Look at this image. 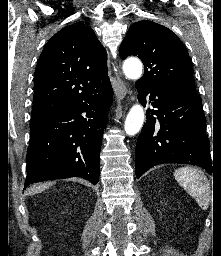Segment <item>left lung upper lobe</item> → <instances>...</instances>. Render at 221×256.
<instances>
[{
    "label": "left lung upper lobe",
    "instance_id": "5c2ea615",
    "mask_svg": "<svg viewBox=\"0 0 221 256\" xmlns=\"http://www.w3.org/2000/svg\"><path fill=\"white\" fill-rule=\"evenodd\" d=\"M119 54L122 59L138 56L144 63V75L136 83L152 89L196 94L189 54L168 28L148 20L135 22Z\"/></svg>",
    "mask_w": 221,
    "mask_h": 256
}]
</instances>
